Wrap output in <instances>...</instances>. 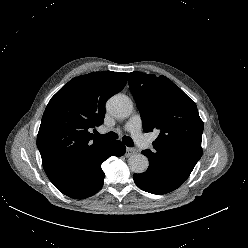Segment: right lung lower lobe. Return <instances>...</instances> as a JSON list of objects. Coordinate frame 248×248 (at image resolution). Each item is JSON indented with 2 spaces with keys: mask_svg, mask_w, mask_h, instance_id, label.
<instances>
[{
  "mask_svg": "<svg viewBox=\"0 0 248 248\" xmlns=\"http://www.w3.org/2000/svg\"><path fill=\"white\" fill-rule=\"evenodd\" d=\"M126 147L121 141H110L102 151L87 160L79 161L64 177L54 185L65 195L74 199H84L97 193L104 182L101 164L110 156H122Z\"/></svg>",
  "mask_w": 248,
  "mask_h": 248,
  "instance_id": "obj_1",
  "label": "right lung lower lobe"
}]
</instances>
